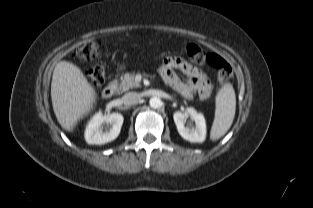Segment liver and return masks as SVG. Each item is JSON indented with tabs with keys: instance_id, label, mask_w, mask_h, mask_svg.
Instances as JSON below:
<instances>
[{
	"instance_id": "6515ba94",
	"label": "liver",
	"mask_w": 313,
	"mask_h": 208,
	"mask_svg": "<svg viewBox=\"0 0 313 208\" xmlns=\"http://www.w3.org/2000/svg\"><path fill=\"white\" fill-rule=\"evenodd\" d=\"M51 99L59 124L66 131H72L91 111L95 92L79 67L61 61L53 71Z\"/></svg>"
}]
</instances>
